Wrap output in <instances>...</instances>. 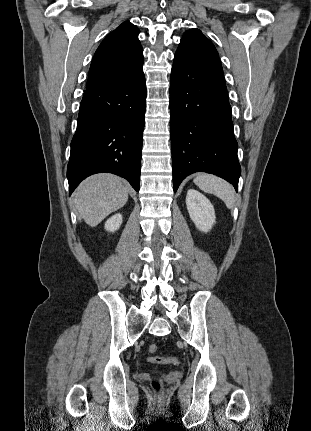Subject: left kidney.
Segmentation results:
<instances>
[{
  "instance_id": "5707ae66",
  "label": "left kidney",
  "mask_w": 311,
  "mask_h": 431,
  "mask_svg": "<svg viewBox=\"0 0 311 431\" xmlns=\"http://www.w3.org/2000/svg\"><path fill=\"white\" fill-rule=\"evenodd\" d=\"M186 206L188 214L196 227L200 231H209L216 219L211 202L203 194L197 192V190H188Z\"/></svg>"
}]
</instances>
